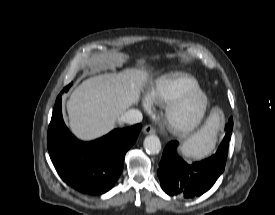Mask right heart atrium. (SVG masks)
<instances>
[{
  "mask_svg": "<svg viewBox=\"0 0 275 215\" xmlns=\"http://www.w3.org/2000/svg\"><path fill=\"white\" fill-rule=\"evenodd\" d=\"M143 106H144L146 109H148V108H149V101H148V100H145V101L143 102Z\"/></svg>",
  "mask_w": 275,
  "mask_h": 215,
  "instance_id": "right-heart-atrium-1",
  "label": "right heart atrium"
}]
</instances>
